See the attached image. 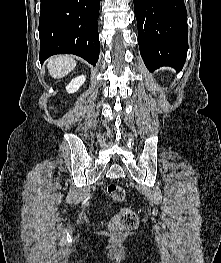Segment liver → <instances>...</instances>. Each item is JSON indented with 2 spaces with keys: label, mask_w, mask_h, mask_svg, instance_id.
Listing matches in <instances>:
<instances>
[{
  "label": "liver",
  "mask_w": 221,
  "mask_h": 263,
  "mask_svg": "<svg viewBox=\"0 0 221 263\" xmlns=\"http://www.w3.org/2000/svg\"><path fill=\"white\" fill-rule=\"evenodd\" d=\"M76 67V61L73 57L67 55H59L52 57L48 61V71L55 78H63L68 75Z\"/></svg>",
  "instance_id": "liver-1"
}]
</instances>
